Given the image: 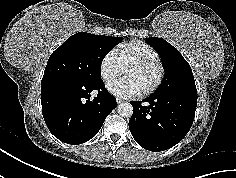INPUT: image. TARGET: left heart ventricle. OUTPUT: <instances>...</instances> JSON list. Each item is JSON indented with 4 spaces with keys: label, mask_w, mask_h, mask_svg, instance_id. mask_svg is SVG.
<instances>
[{
    "label": "left heart ventricle",
    "mask_w": 236,
    "mask_h": 178,
    "mask_svg": "<svg viewBox=\"0 0 236 178\" xmlns=\"http://www.w3.org/2000/svg\"><path fill=\"white\" fill-rule=\"evenodd\" d=\"M124 75L125 78L134 81L142 92L155 82L158 75V68L156 66L148 68H132L127 70Z\"/></svg>",
    "instance_id": "left-heart-ventricle-1"
}]
</instances>
